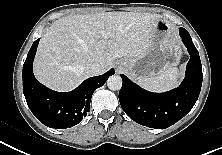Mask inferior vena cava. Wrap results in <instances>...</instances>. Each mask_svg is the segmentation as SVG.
<instances>
[{"instance_id": "obj_1", "label": "inferior vena cava", "mask_w": 222, "mask_h": 155, "mask_svg": "<svg viewBox=\"0 0 222 155\" xmlns=\"http://www.w3.org/2000/svg\"><path fill=\"white\" fill-rule=\"evenodd\" d=\"M86 72L89 76H95L101 73L100 64L97 62H91L86 66Z\"/></svg>"}]
</instances>
